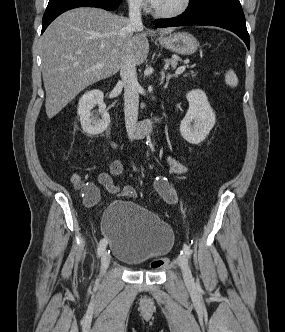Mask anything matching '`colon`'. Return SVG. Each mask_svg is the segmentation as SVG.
<instances>
[{
  "label": "colon",
  "mask_w": 285,
  "mask_h": 332,
  "mask_svg": "<svg viewBox=\"0 0 285 332\" xmlns=\"http://www.w3.org/2000/svg\"><path fill=\"white\" fill-rule=\"evenodd\" d=\"M168 260L166 258H160V259H157V260H154L152 262V266L154 268H158V267H162L164 266L165 264H167Z\"/></svg>",
  "instance_id": "obj_1"
}]
</instances>
